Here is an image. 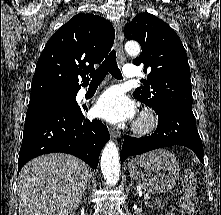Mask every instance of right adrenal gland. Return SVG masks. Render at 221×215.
Instances as JSON below:
<instances>
[{"label":"right adrenal gland","instance_id":"obj_1","mask_svg":"<svg viewBox=\"0 0 221 215\" xmlns=\"http://www.w3.org/2000/svg\"><path fill=\"white\" fill-rule=\"evenodd\" d=\"M86 190H90V180L88 181V183H87V185H86V188H85L83 194H85V191H86Z\"/></svg>","mask_w":221,"mask_h":215}]
</instances>
